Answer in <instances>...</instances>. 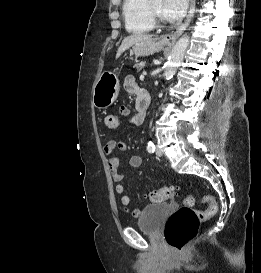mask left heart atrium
<instances>
[{
	"mask_svg": "<svg viewBox=\"0 0 261 273\" xmlns=\"http://www.w3.org/2000/svg\"><path fill=\"white\" fill-rule=\"evenodd\" d=\"M188 0H163V14L166 20L173 22L183 17Z\"/></svg>",
	"mask_w": 261,
	"mask_h": 273,
	"instance_id": "39dd6f15",
	"label": "left heart atrium"
}]
</instances>
